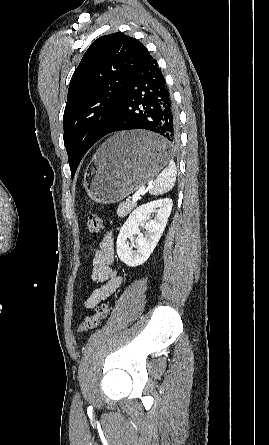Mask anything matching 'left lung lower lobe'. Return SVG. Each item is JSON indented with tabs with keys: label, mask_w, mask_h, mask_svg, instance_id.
Masks as SVG:
<instances>
[{
	"label": "left lung lower lobe",
	"mask_w": 269,
	"mask_h": 445,
	"mask_svg": "<svg viewBox=\"0 0 269 445\" xmlns=\"http://www.w3.org/2000/svg\"><path fill=\"white\" fill-rule=\"evenodd\" d=\"M131 129L155 132L171 146L178 141V115L173 98L156 60L147 49L121 96L115 120L102 137Z\"/></svg>",
	"instance_id": "left-lung-lower-lobe-1"
}]
</instances>
